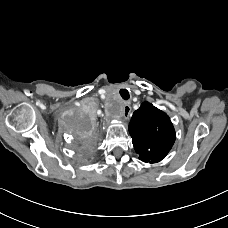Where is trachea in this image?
<instances>
[{
	"mask_svg": "<svg viewBox=\"0 0 228 228\" xmlns=\"http://www.w3.org/2000/svg\"><path fill=\"white\" fill-rule=\"evenodd\" d=\"M119 93L124 100H128L130 98L129 92L126 89H121Z\"/></svg>",
	"mask_w": 228,
	"mask_h": 228,
	"instance_id": "3493384b",
	"label": "trachea"
}]
</instances>
